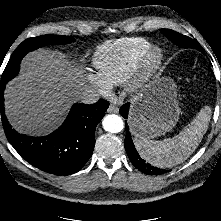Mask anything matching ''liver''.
Segmentation results:
<instances>
[{"mask_svg":"<svg viewBox=\"0 0 221 221\" xmlns=\"http://www.w3.org/2000/svg\"><path fill=\"white\" fill-rule=\"evenodd\" d=\"M82 72L62 53L31 52L5 90L6 115L22 133L44 134L57 126L83 87Z\"/></svg>","mask_w":221,"mask_h":221,"instance_id":"obj_1","label":"liver"}]
</instances>
